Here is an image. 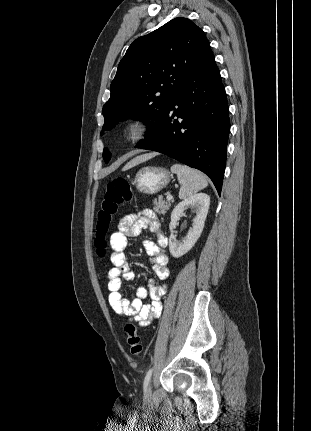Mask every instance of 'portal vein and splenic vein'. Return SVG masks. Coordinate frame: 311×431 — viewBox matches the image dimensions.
Segmentation results:
<instances>
[{
	"mask_svg": "<svg viewBox=\"0 0 311 431\" xmlns=\"http://www.w3.org/2000/svg\"><path fill=\"white\" fill-rule=\"evenodd\" d=\"M167 200H173L172 194H167Z\"/></svg>",
	"mask_w": 311,
	"mask_h": 431,
	"instance_id": "portal-vein-and-splenic-vein-1",
	"label": "portal vein and splenic vein"
}]
</instances>
